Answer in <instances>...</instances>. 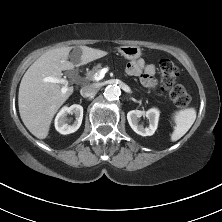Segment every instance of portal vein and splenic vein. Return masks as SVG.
I'll return each instance as SVG.
<instances>
[{
    "mask_svg": "<svg viewBox=\"0 0 222 222\" xmlns=\"http://www.w3.org/2000/svg\"><path fill=\"white\" fill-rule=\"evenodd\" d=\"M106 73V70L105 69H101L99 72L95 73L94 75V79L96 81H99L101 79H103L104 75ZM45 82H51V83H60V84H63L64 86L62 87L61 89V92L62 93H66L67 90H68V82L65 80V79H58V78H55V77H46L44 79Z\"/></svg>",
    "mask_w": 222,
    "mask_h": 222,
    "instance_id": "obj_1",
    "label": "portal vein and splenic vein"
}]
</instances>
